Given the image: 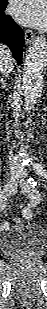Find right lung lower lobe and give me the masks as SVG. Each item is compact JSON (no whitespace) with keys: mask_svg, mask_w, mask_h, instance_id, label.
Returning a JSON list of instances; mask_svg holds the SVG:
<instances>
[{"mask_svg":"<svg viewBox=\"0 0 47 309\" xmlns=\"http://www.w3.org/2000/svg\"><path fill=\"white\" fill-rule=\"evenodd\" d=\"M7 0L0 1V42L7 44L14 59L21 64L24 34L23 30L14 22L12 17L4 14Z\"/></svg>","mask_w":47,"mask_h":309,"instance_id":"obj_1","label":"right lung lower lobe"}]
</instances>
